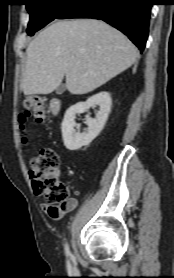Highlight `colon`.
I'll list each match as a JSON object with an SVG mask.
<instances>
[{
  "label": "colon",
  "mask_w": 174,
  "mask_h": 278,
  "mask_svg": "<svg viewBox=\"0 0 174 278\" xmlns=\"http://www.w3.org/2000/svg\"><path fill=\"white\" fill-rule=\"evenodd\" d=\"M33 119L38 123L48 120L45 100L38 96H29L23 100L19 114L21 129L25 123ZM26 141V139H23ZM30 177L37 194L42 195L50 205L65 204L70 195L69 188L60 181L58 156L51 148L42 149L30 162Z\"/></svg>",
  "instance_id": "obj_1"
}]
</instances>
